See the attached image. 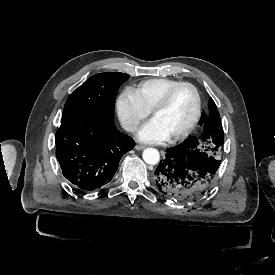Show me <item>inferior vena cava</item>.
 <instances>
[{
    "label": "inferior vena cava",
    "instance_id": "1",
    "mask_svg": "<svg viewBox=\"0 0 275 275\" xmlns=\"http://www.w3.org/2000/svg\"><path fill=\"white\" fill-rule=\"evenodd\" d=\"M123 128H124L126 131L132 132V131H135L136 125L130 124V125L124 126Z\"/></svg>",
    "mask_w": 275,
    "mask_h": 275
}]
</instances>
